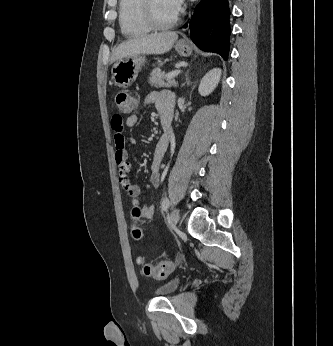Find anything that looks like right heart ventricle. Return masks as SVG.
Wrapping results in <instances>:
<instances>
[{
    "mask_svg": "<svg viewBox=\"0 0 333 346\" xmlns=\"http://www.w3.org/2000/svg\"><path fill=\"white\" fill-rule=\"evenodd\" d=\"M119 26L126 37H137L151 30L144 12L142 0H119Z\"/></svg>",
    "mask_w": 333,
    "mask_h": 346,
    "instance_id": "right-heart-ventricle-1",
    "label": "right heart ventricle"
}]
</instances>
